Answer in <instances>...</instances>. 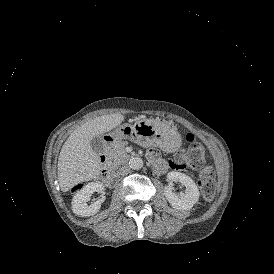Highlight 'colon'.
<instances>
[{"mask_svg": "<svg viewBox=\"0 0 274 274\" xmlns=\"http://www.w3.org/2000/svg\"><path fill=\"white\" fill-rule=\"evenodd\" d=\"M175 169H199L202 196L206 200H211L216 192V181L214 170L205 164V147L202 143L191 141L183 149L176 151L171 156ZM75 189H84V180L74 181Z\"/></svg>", "mask_w": 274, "mask_h": 274, "instance_id": "colon-1", "label": "colon"}]
</instances>
